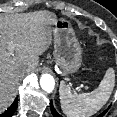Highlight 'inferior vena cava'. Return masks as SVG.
<instances>
[{
  "instance_id": "obj_1",
  "label": "inferior vena cava",
  "mask_w": 117,
  "mask_h": 117,
  "mask_svg": "<svg viewBox=\"0 0 117 117\" xmlns=\"http://www.w3.org/2000/svg\"><path fill=\"white\" fill-rule=\"evenodd\" d=\"M25 71H27L26 68H21V69L19 70V72H20L21 74L24 73Z\"/></svg>"
}]
</instances>
